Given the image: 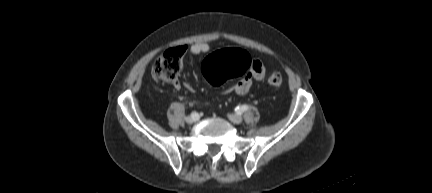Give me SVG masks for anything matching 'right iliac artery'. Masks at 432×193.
<instances>
[{
    "label": "right iliac artery",
    "instance_id": "82829eb1",
    "mask_svg": "<svg viewBox=\"0 0 432 193\" xmlns=\"http://www.w3.org/2000/svg\"><path fill=\"white\" fill-rule=\"evenodd\" d=\"M191 115L194 117V116L197 115V112H196V111H193Z\"/></svg>",
    "mask_w": 432,
    "mask_h": 193
}]
</instances>
